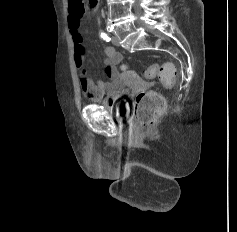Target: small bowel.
Masks as SVG:
<instances>
[{
  "mask_svg": "<svg viewBox=\"0 0 237 232\" xmlns=\"http://www.w3.org/2000/svg\"><path fill=\"white\" fill-rule=\"evenodd\" d=\"M81 17L71 12L68 16V26L74 49V60L80 74L81 88L85 95L94 101L105 98L106 103H114L120 97L125 87L124 81L117 68L122 61V56L114 47H106L104 51V75L108 80L99 79L94 81L91 79L87 75L84 66L85 51L81 34Z\"/></svg>",
  "mask_w": 237,
  "mask_h": 232,
  "instance_id": "small-bowel-1",
  "label": "small bowel"
}]
</instances>
